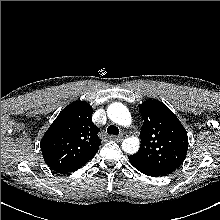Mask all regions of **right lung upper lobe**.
Listing matches in <instances>:
<instances>
[{
  "instance_id": "cb5924a9",
  "label": "right lung upper lobe",
  "mask_w": 220,
  "mask_h": 220,
  "mask_svg": "<svg viewBox=\"0 0 220 220\" xmlns=\"http://www.w3.org/2000/svg\"><path fill=\"white\" fill-rule=\"evenodd\" d=\"M92 107L85 101L66 106L41 140L45 163L58 173L83 166L98 151L100 129L92 122Z\"/></svg>"
}]
</instances>
